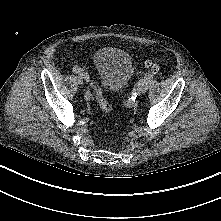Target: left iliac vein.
Listing matches in <instances>:
<instances>
[{
    "label": "left iliac vein",
    "mask_w": 221,
    "mask_h": 221,
    "mask_svg": "<svg viewBox=\"0 0 221 221\" xmlns=\"http://www.w3.org/2000/svg\"><path fill=\"white\" fill-rule=\"evenodd\" d=\"M147 90H148V84H147V83L142 84V85L140 86V88H139V91H140L141 93H145Z\"/></svg>",
    "instance_id": "left-iliac-vein-1"
}]
</instances>
